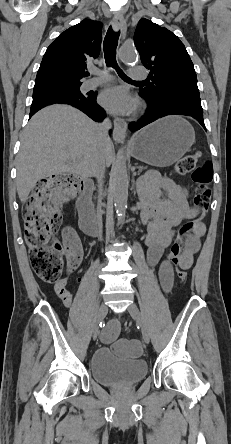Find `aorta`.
<instances>
[{
    "mask_svg": "<svg viewBox=\"0 0 231 444\" xmlns=\"http://www.w3.org/2000/svg\"><path fill=\"white\" fill-rule=\"evenodd\" d=\"M120 58L125 63L137 60V54L132 48L123 47L120 50ZM113 197L118 222H123L127 209L129 177L127 173L126 158L119 154L113 169Z\"/></svg>",
    "mask_w": 231,
    "mask_h": 444,
    "instance_id": "aorta-1",
    "label": "aorta"
}]
</instances>
